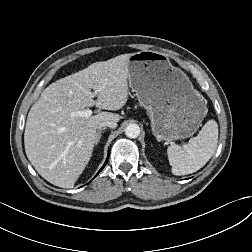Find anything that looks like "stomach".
I'll return each mask as SVG.
<instances>
[{
  "mask_svg": "<svg viewBox=\"0 0 252 252\" xmlns=\"http://www.w3.org/2000/svg\"><path fill=\"white\" fill-rule=\"evenodd\" d=\"M127 69L129 86L146 109L158 140L185 139L198 130L207 113L204 99L166 54H129Z\"/></svg>",
  "mask_w": 252,
  "mask_h": 252,
  "instance_id": "obj_1",
  "label": "stomach"
}]
</instances>
